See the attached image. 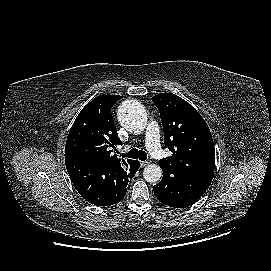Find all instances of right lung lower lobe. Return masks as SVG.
<instances>
[{
  "instance_id": "right-lung-lower-lobe-1",
  "label": "right lung lower lobe",
  "mask_w": 271,
  "mask_h": 271,
  "mask_svg": "<svg viewBox=\"0 0 271 271\" xmlns=\"http://www.w3.org/2000/svg\"><path fill=\"white\" fill-rule=\"evenodd\" d=\"M70 179L79 194L89 203L110 206L121 201L126 194L129 179L139 169L138 162L130 173L117 167L98 164L81 157L65 160Z\"/></svg>"
}]
</instances>
